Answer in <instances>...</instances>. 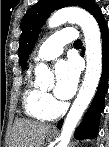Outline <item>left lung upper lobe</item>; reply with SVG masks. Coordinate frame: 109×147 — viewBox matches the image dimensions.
<instances>
[{
  "label": "left lung upper lobe",
  "mask_w": 109,
  "mask_h": 147,
  "mask_svg": "<svg viewBox=\"0 0 109 147\" xmlns=\"http://www.w3.org/2000/svg\"><path fill=\"white\" fill-rule=\"evenodd\" d=\"M66 6H79L91 12L97 4L94 0H40L33 5L21 21L22 34L18 54L22 70H25L27 59L35 46L41 27L50 13Z\"/></svg>",
  "instance_id": "obj_1"
}]
</instances>
